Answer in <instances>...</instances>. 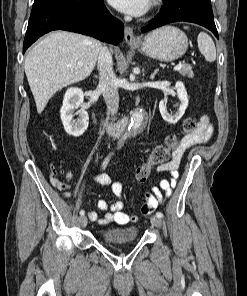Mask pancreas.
<instances>
[{
  "label": "pancreas",
  "mask_w": 247,
  "mask_h": 296,
  "mask_svg": "<svg viewBox=\"0 0 247 296\" xmlns=\"http://www.w3.org/2000/svg\"><path fill=\"white\" fill-rule=\"evenodd\" d=\"M178 72L182 76H188L189 78H192L194 76L192 67L189 64H184L182 68L178 70Z\"/></svg>",
  "instance_id": "1"
}]
</instances>
